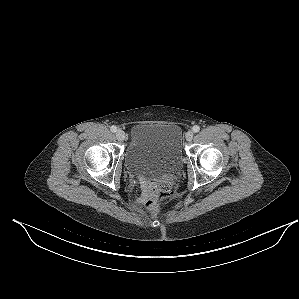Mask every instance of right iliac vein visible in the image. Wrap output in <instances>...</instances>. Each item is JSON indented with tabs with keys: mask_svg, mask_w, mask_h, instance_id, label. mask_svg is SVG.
Wrapping results in <instances>:
<instances>
[{
	"mask_svg": "<svg viewBox=\"0 0 299 299\" xmlns=\"http://www.w3.org/2000/svg\"><path fill=\"white\" fill-rule=\"evenodd\" d=\"M116 138L119 141H123L125 139V133L122 130H117V132H116Z\"/></svg>",
	"mask_w": 299,
	"mask_h": 299,
	"instance_id": "1",
	"label": "right iliac vein"
}]
</instances>
